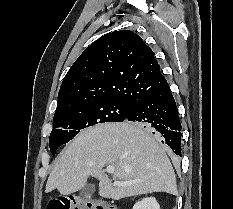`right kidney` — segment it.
Returning <instances> with one entry per match:
<instances>
[{"mask_svg":"<svg viewBox=\"0 0 233 209\" xmlns=\"http://www.w3.org/2000/svg\"><path fill=\"white\" fill-rule=\"evenodd\" d=\"M133 209H160V206L155 198L149 197L137 202Z\"/></svg>","mask_w":233,"mask_h":209,"instance_id":"1","label":"right kidney"}]
</instances>
